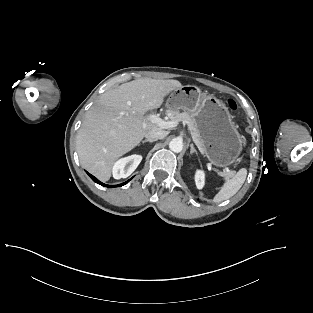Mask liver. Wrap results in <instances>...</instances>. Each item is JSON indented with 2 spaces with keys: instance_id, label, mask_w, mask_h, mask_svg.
Listing matches in <instances>:
<instances>
[{
  "instance_id": "1",
  "label": "liver",
  "mask_w": 313,
  "mask_h": 313,
  "mask_svg": "<svg viewBox=\"0 0 313 313\" xmlns=\"http://www.w3.org/2000/svg\"><path fill=\"white\" fill-rule=\"evenodd\" d=\"M181 87L177 80L142 78L101 95L85 115L76 147L81 165L101 181H108L115 161L131 151L152 129H161L147 112L159 108L164 97Z\"/></svg>"
}]
</instances>
